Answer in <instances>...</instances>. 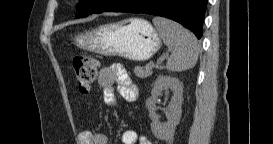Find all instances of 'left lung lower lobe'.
<instances>
[{"instance_id": "1", "label": "left lung lower lobe", "mask_w": 273, "mask_h": 144, "mask_svg": "<svg viewBox=\"0 0 273 144\" xmlns=\"http://www.w3.org/2000/svg\"><path fill=\"white\" fill-rule=\"evenodd\" d=\"M208 0H105L93 14L103 12L145 13L172 19L189 30L198 39L202 37Z\"/></svg>"}]
</instances>
